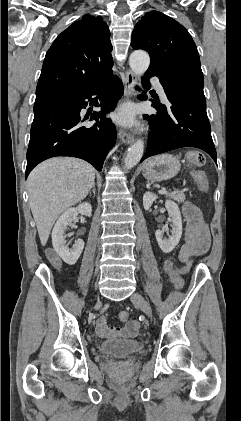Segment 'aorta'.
I'll return each instance as SVG.
<instances>
[{"instance_id": "obj_1", "label": "aorta", "mask_w": 241, "mask_h": 421, "mask_svg": "<svg viewBox=\"0 0 241 421\" xmlns=\"http://www.w3.org/2000/svg\"><path fill=\"white\" fill-rule=\"evenodd\" d=\"M129 65L134 74L143 75L150 65V57L146 51L136 50L130 55ZM143 153L144 142L137 140L127 151L124 159V169L133 168L141 160Z\"/></svg>"}]
</instances>
